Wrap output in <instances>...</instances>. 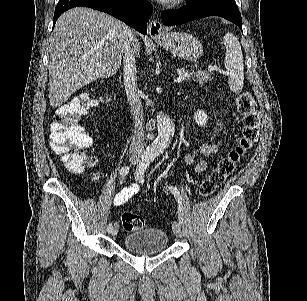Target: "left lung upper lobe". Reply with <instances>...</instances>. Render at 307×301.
Wrapping results in <instances>:
<instances>
[{
	"label": "left lung upper lobe",
	"instance_id": "1",
	"mask_svg": "<svg viewBox=\"0 0 307 301\" xmlns=\"http://www.w3.org/2000/svg\"><path fill=\"white\" fill-rule=\"evenodd\" d=\"M201 1H204V0H188L187 4L197 3V2H201ZM227 1L235 3V0H227Z\"/></svg>",
	"mask_w": 307,
	"mask_h": 301
}]
</instances>
